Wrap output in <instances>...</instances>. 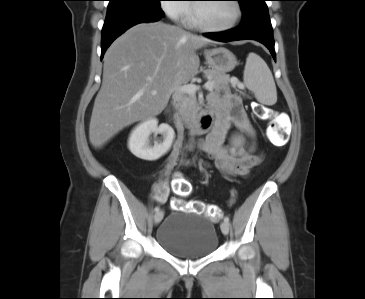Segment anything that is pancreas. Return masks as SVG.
<instances>
[{
    "label": "pancreas",
    "instance_id": "pancreas-1",
    "mask_svg": "<svg viewBox=\"0 0 365 299\" xmlns=\"http://www.w3.org/2000/svg\"><path fill=\"white\" fill-rule=\"evenodd\" d=\"M204 75L207 79L213 82L215 90H229L230 78L225 73H221L215 70L207 69L204 71ZM199 106L195 95H189L185 99V106L179 112L178 117L180 120L189 123L195 119L198 115Z\"/></svg>",
    "mask_w": 365,
    "mask_h": 299
}]
</instances>
